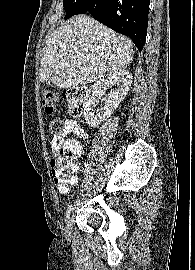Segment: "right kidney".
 <instances>
[{"instance_id": "obj_1", "label": "right kidney", "mask_w": 195, "mask_h": 270, "mask_svg": "<svg viewBox=\"0 0 195 270\" xmlns=\"http://www.w3.org/2000/svg\"><path fill=\"white\" fill-rule=\"evenodd\" d=\"M132 78V74L129 71L123 70L108 78L100 79L93 85L92 96L84 106V118L89 126H98L101 122L111 116L130 90ZM113 85H116L117 88L110 92L109 100L105 106L96 109L98 99H100L106 90Z\"/></svg>"}]
</instances>
